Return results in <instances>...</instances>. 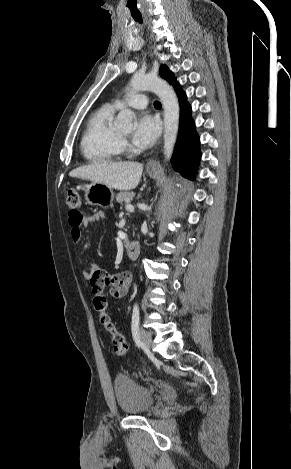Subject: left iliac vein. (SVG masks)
Masks as SVG:
<instances>
[{
    "label": "left iliac vein",
    "mask_w": 291,
    "mask_h": 469,
    "mask_svg": "<svg viewBox=\"0 0 291 469\" xmlns=\"http://www.w3.org/2000/svg\"><path fill=\"white\" fill-rule=\"evenodd\" d=\"M140 338H141L144 346L148 350L149 354L152 355V353L150 351V348H151V345H152V339H151V335L149 334V332H147L143 329H140Z\"/></svg>",
    "instance_id": "1"
}]
</instances>
